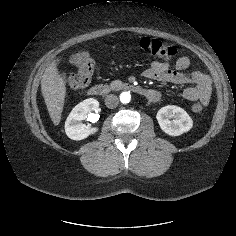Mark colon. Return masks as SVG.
Returning <instances> with one entry per match:
<instances>
[{"label": "colon", "instance_id": "colon-1", "mask_svg": "<svg viewBox=\"0 0 236 236\" xmlns=\"http://www.w3.org/2000/svg\"><path fill=\"white\" fill-rule=\"evenodd\" d=\"M140 47L143 51L153 57L164 60H171L176 55V48L162 43L160 40L152 38H143L140 41ZM72 63L78 68L76 73H62L61 79L68 87L78 89L86 86L92 79L94 72V60L87 53H79L71 58ZM203 105L195 103L192 110L195 113L201 112Z\"/></svg>", "mask_w": 236, "mask_h": 236}]
</instances>
